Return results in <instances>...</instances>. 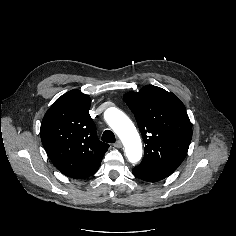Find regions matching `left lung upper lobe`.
<instances>
[{"mask_svg": "<svg viewBox=\"0 0 236 236\" xmlns=\"http://www.w3.org/2000/svg\"><path fill=\"white\" fill-rule=\"evenodd\" d=\"M124 100L145 142L140 165L170 176L185 159L192 139L191 122L184 104L173 93L153 85L126 93Z\"/></svg>", "mask_w": 236, "mask_h": 236, "instance_id": "5c2ea615", "label": "left lung upper lobe"}]
</instances>
